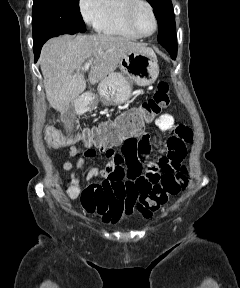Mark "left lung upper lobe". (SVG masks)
<instances>
[{
  "label": "left lung upper lobe",
  "instance_id": "obj_1",
  "mask_svg": "<svg viewBox=\"0 0 240 288\" xmlns=\"http://www.w3.org/2000/svg\"><path fill=\"white\" fill-rule=\"evenodd\" d=\"M155 11L159 25L158 41L168 48H177L176 25L171 0H147Z\"/></svg>",
  "mask_w": 240,
  "mask_h": 288
}]
</instances>
